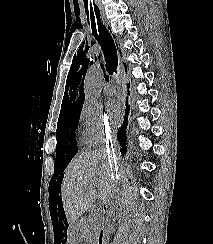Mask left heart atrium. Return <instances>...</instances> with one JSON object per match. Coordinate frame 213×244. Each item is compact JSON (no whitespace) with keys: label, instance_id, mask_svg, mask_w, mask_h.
Here are the masks:
<instances>
[{"label":"left heart atrium","instance_id":"left-heart-atrium-1","mask_svg":"<svg viewBox=\"0 0 213 244\" xmlns=\"http://www.w3.org/2000/svg\"><path fill=\"white\" fill-rule=\"evenodd\" d=\"M106 115L110 122L116 123L121 116V106L116 99H109L106 102Z\"/></svg>","mask_w":213,"mask_h":244}]
</instances>
